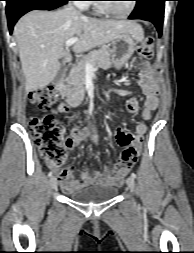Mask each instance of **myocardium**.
<instances>
[{"instance_id": "myocardium-1", "label": "myocardium", "mask_w": 194, "mask_h": 253, "mask_svg": "<svg viewBox=\"0 0 194 253\" xmlns=\"http://www.w3.org/2000/svg\"><path fill=\"white\" fill-rule=\"evenodd\" d=\"M98 8H99L101 11L105 12L106 14H108V15H110V16H112V17L122 19V18H127V17H129V16L133 13V11H134L135 8H136V1H135V0H132L129 9H128L126 12H124V13H116V12H114L112 9H110V8L106 5V3H102V2H100V3L98 4Z\"/></svg>"}]
</instances>
